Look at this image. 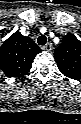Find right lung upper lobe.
Returning a JSON list of instances; mask_svg holds the SVG:
<instances>
[{"instance_id":"1","label":"right lung upper lobe","mask_w":81,"mask_h":124,"mask_svg":"<svg viewBox=\"0 0 81 124\" xmlns=\"http://www.w3.org/2000/svg\"><path fill=\"white\" fill-rule=\"evenodd\" d=\"M40 51L31 38L16 31L0 47V69L8 77L20 78L29 72Z\"/></svg>"}]
</instances>
